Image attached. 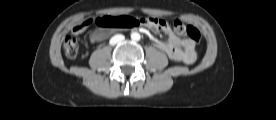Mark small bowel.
I'll return each instance as SVG.
<instances>
[{
	"label": "small bowel",
	"mask_w": 276,
	"mask_h": 120,
	"mask_svg": "<svg viewBox=\"0 0 276 120\" xmlns=\"http://www.w3.org/2000/svg\"><path fill=\"white\" fill-rule=\"evenodd\" d=\"M154 31H161L167 37L168 41H156L155 45L164 52L168 58L172 61L182 62L185 64H192L196 59V53L194 50V43L191 40H183L177 37L168 23L157 28L152 24H147ZM83 30H79L77 27L73 29L74 33H80ZM106 37V33L102 31H94L90 35V40L93 43H99Z\"/></svg>",
	"instance_id": "obj_1"
}]
</instances>
